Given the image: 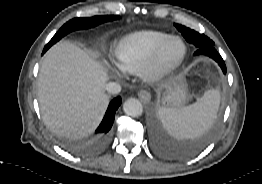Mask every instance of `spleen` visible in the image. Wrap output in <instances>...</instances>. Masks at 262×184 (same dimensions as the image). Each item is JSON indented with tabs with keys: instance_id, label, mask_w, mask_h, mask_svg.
Here are the masks:
<instances>
[{
	"instance_id": "3e777b00",
	"label": "spleen",
	"mask_w": 262,
	"mask_h": 184,
	"mask_svg": "<svg viewBox=\"0 0 262 184\" xmlns=\"http://www.w3.org/2000/svg\"><path fill=\"white\" fill-rule=\"evenodd\" d=\"M220 102L218 89L207 90L195 103L182 108L161 107L158 114L167 130L176 138H193L214 123Z\"/></svg>"
}]
</instances>
